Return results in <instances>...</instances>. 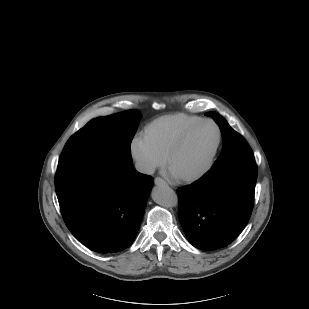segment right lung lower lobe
Returning <instances> with one entry per match:
<instances>
[{
  "mask_svg": "<svg viewBox=\"0 0 309 309\" xmlns=\"http://www.w3.org/2000/svg\"><path fill=\"white\" fill-rule=\"evenodd\" d=\"M152 185L131 159L99 153L56 179V194L70 232L92 251L112 253L133 243Z\"/></svg>",
  "mask_w": 309,
  "mask_h": 309,
  "instance_id": "98d812e1",
  "label": "right lung lower lobe"
}]
</instances>
